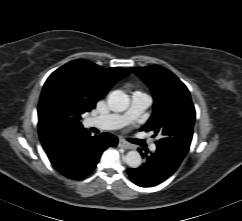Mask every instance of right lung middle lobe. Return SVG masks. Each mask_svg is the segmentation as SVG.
<instances>
[{"label":"right lung middle lobe","instance_id":"dd1d6c3e","mask_svg":"<svg viewBox=\"0 0 242 221\" xmlns=\"http://www.w3.org/2000/svg\"><path fill=\"white\" fill-rule=\"evenodd\" d=\"M79 117L76 116L69 108L64 107L63 108V114L60 119V123L62 125H74L78 124Z\"/></svg>","mask_w":242,"mask_h":221}]
</instances>
